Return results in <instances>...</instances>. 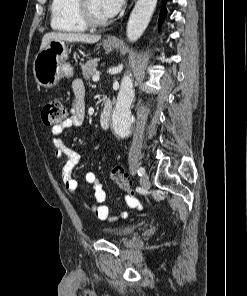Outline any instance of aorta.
<instances>
[{"label":"aorta","mask_w":247,"mask_h":296,"mask_svg":"<svg viewBox=\"0 0 247 296\" xmlns=\"http://www.w3.org/2000/svg\"><path fill=\"white\" fill-rule=\"evenodd\" d=\"M157 0H137L127 24V38L130 42L138 40L147 28L151 16L156 8ZM135 92L133 81L127 73L121 80L115 108L112 113V126L115 134L126 136L130 132L131 111Z\"/></svg>","instance_id":"aorta-1"}]
</instances>
